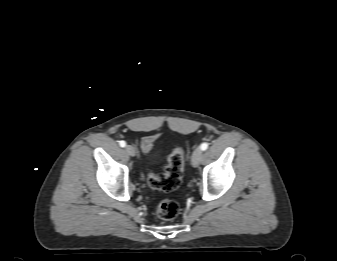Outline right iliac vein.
Instances as JSON below:
<instances>
[{
	"mask_svg": "<svg viewBox=\"0 0 337 261\" xmlns=\"http://www.w3.org/2000/svg\"><path fill=\"white\" fill-rule=\"evenodd\" d=\"M125 151L130 156H135V154H136L135 148L133 146H131V145H127L125 147Z\"/></svg>",
	"mask_w": 337,
	"mask_h": 261,
	"instance_id": "63e3f726",
	"label": "right iliac vein"
}]
</instances>
